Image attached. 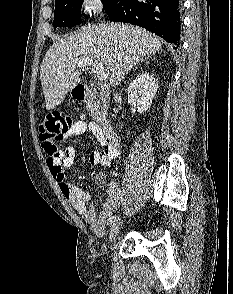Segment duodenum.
Instances as JSON below:
<instances>
[{
  "mask_svg": "<svg viewBox=\"0 0 233 294\" xmlns=\"http://www.w3.org/2000/svg\"><path fill=\"white\" fill-rule=\"evenodd\" d=\"M91 95V90L86 86L79 85L75 89V97L80 101H88L91 98ZM102 131L108 141L114 143L118 140L117 133L106 119L102 121Z\"/></svg>",
  "mask_w": 233,
  "mask_h": 294,
  "instance_id": "duodenum-1",
  "label": "duodenum"
}]
</instances>
